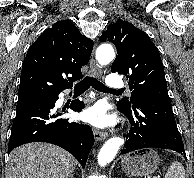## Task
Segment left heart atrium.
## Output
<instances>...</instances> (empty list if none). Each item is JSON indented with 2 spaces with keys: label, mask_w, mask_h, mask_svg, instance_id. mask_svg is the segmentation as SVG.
<instances>
[{
  "label": "left heart atrium",
  "mask_w": 194,
  "mask_h": 178,
  "mask_svg": "<svg viewBox=\"0 0 194 178\" xmlns=\"http://www.w3.org/2000/svg\"><path fill=\"white\" fill-rule=\"evenodd\" d=\"M82 119L91 125L104 128L114 123V117L109 115L102 104H96L82 113Z\"/></svg>",
  "instance_id": "left-heart-atrium-1"
}]
</instances>
